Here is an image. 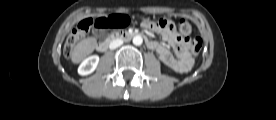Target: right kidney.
I'll return each instance as SVG.
<instances>
[{
  "label": "right kidney",
  "mask_w": 276,
  "mask_h": 120,
  "mask_svg": "<svg viewBox=\"0 0 276 120\" xmlns=\"http://www.w3.org/2000/svg\"><path fill=\"white\" fill-rule=\"evenodd\" d=\"M99 63V56L92 55L87 57L83 62L80 64L78 68V73L80 75H89L91 74L97 67Z\"/></svg>",
  "instance_id": "ca27d5eb"
}]
</instances>
